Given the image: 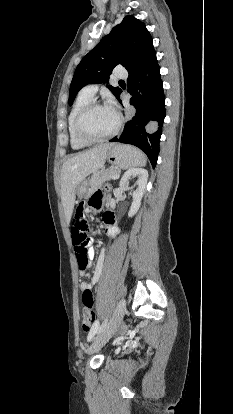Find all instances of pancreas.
Returning a JSON list of instances; mask_svg holds the SVG:
<instances>
[{"label": "pancreas", "instance_id": "obj_1", "mask_svg": "<svg viewBox=\"0 0 233 414\" xmlns=\"http://www.w3.org/2000/svg\"><path fill=\"white\" fill-rule=\"evenodd\" d=\"M116 175H120V169L117 167H110L94 173L90 180L89 192L101 187L106 181L114 179Z\"/></svg>", "mask_w": 233, "mask_h": 414}]
</instances>
